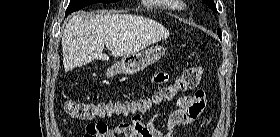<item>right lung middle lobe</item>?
<instances>
[{
	"instance_id": "obj_1",
	"label": "right lung middle lobe",
	"mask_w": 280,
	"mask_h": 137,
	"mask_svg": "<svg viewBox=\"0 0 280 137\" xmlns=\"http://www.w3.org/2000/svg\"><path fill=\"white\" fill-rule=\"evenodd\" d=\"M120 0H70L69 6L66 9V16L74 11H78L83 7H86L94 3H115Z\"/></svg>"
}]
</instances>
